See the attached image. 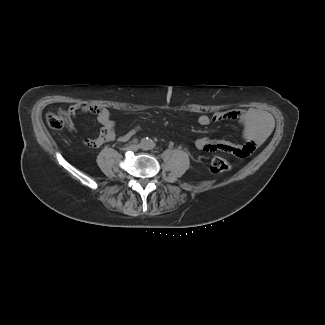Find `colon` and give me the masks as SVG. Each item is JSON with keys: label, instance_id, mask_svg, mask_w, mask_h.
Here are the masks:
<instances>
[{"label": "colon", "instance_id": "obj_1", "mask_svg": "<svg viewBox=\"0 0 325 325\" xmlns=\"http://www.w3.org/2000/svg\"><path fill=\"white\" fill-rule=\"evenodd\" d=\"M46 121L48 126L55 131H62L65 129L66 121L59 114L48 113L46 116ZM209 167L213 173H223L229 171L231 165L225 158L213 156L210 160Z\"/></svg>", "mask_w": 325, "mask_h": 325}]
</instances>
